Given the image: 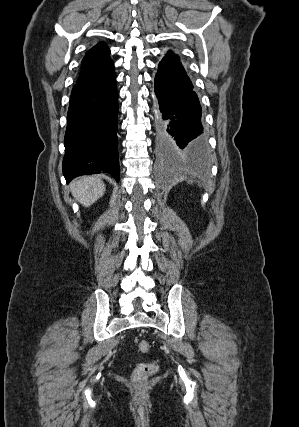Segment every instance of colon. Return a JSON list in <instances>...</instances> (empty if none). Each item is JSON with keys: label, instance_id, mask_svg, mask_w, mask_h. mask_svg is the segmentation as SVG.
Returning a JSON list of instances; mask_svg holds the SVG:
<instances>
[{"label": "colon", "instance_id": "obj_1", "mask_svg": "<svg viewBox=\"0 0 299 427\" xmlns=\"http://www.w3.org/2000/svg\"><path fill=\"white\" fill-rule=\"evenodd\" d=\"M149 343L146 341H138V348L141 352H147L149 350ZM157 370V364L155 362H148L138 365L133 372V380L136 383H144L151 375Z\"/></svg>", "mask_w": 299, "mask_h": 427}]
</instances>
